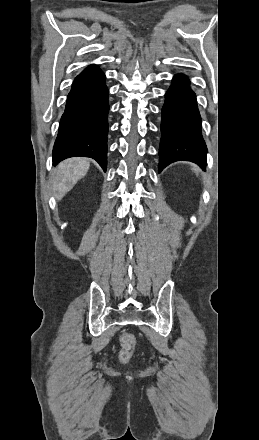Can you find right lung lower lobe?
<instances>
[{
    "mask_svg": "<svg viewBox=\"0 0 259 440\" xmlns=\"http://www.w3.org/2000/svg\"><path fill=\"white\" fill-rule=\"evenodd\" d=\"M108 88L105 75L91 65L74 80L53 148V165L74 156L91 157L106 171Z\"/></svg>",
    "mask_w": 259,
    "mask_h": 440,
    "instance_id": "obj_1",
    "label": "right lung lower lobe"
}]
</instances>
